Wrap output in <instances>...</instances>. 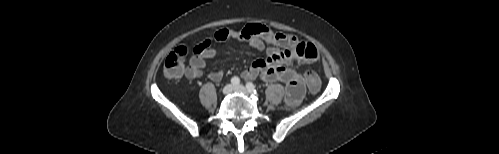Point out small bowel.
<instances>
[{
	"label": "small bowel",
	"instance_id": "c3829d8e",
	"mask_svg": "<svg viewBox=\"0 0 499 154\" xmlns=\"http://www.w3.org/2000/svg\"><path fill=\"white\" fill-rule=\"evenodd\" d=\"M233 39L239 43L266 51L265 59L254 61L251 66L242 72L245 79L261 78L273 82L286 84L285 102L290 107H296L305 94L304 78L290 68V63H314L319 59L316 47L300 41L296 36L284 33H274L267 26L259 23L247 24L239 30L222 29L213 37L204 40L194 48V54L185 70L188 79H197L204 75V68L209 60L216 56L214 43ZM207 77L213 82H219L223 71L208 72Z\"/></svg>",
	"mask_w": 499,
	"mask_h": 154
}]
</instances>
